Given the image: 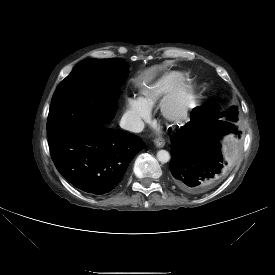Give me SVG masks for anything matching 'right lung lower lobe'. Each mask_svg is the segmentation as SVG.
Returning a JSON list of instances; mask_svg holds the SVG:
<instances>
[{
	"label": "right lung lower lobe",
	"instance_id": "1",
	"mask_svg": "<svg viewBox=\"0 0 275 275\" xmlns=\"http://www.w3.org/2000/svg\"><path fill=\"white\" fill-rule=\"evenodd\" d=\"M127 76L110 89L120 95ZM48 138L51 157L60 174L78 189L95 195L113 190L128 164L144 148L138 136L98 122L64 128Z\"/></svg>",
	"mask_w": 275,
	"mask_h": 275
}]
</instances>
